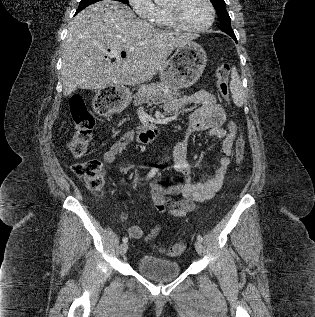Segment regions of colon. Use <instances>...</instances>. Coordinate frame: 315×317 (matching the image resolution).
I'll use <instances>...</instances> for the list:
<instances>
[{"mask_svg":"<svg viewBox=\"0 0 315 317\" xmlns=\"http://www.w3.org/2000/svg\"><path fill=\"white\" fill-rule=\"evenodd\" d=\"M216 86L225 100H229V76L230 65L222 63L216 68ZM105 97L114 95H101V91L95 99V107L101 114H106ZM70 113L74 124V134L69 143V150L74 157H82L86 154L88 145L92 138L94 118L80 96H75L70 101ZM245 156V141L243 136H239L235 143V168L239 169ZM73 172L81 178L87 187L96 194H101L105 186V172L99 160L91 159L78 162L72 166ZM186 245L183 242L176 243L166 250V254L171 257L179 256L184 252Z\"/></svg>","mask_w":315,"mask_h":317,"instance_id":"1","label":"colon"}]
</instances>
